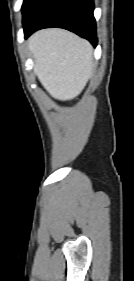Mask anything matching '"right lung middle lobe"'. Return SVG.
I'll list each match as a JSON object with an SVG mask.
<instances>
[{
    "label": "right lung middle lobe",
    "mask_w": 134,
    "mask_h": 281,
    "mask_svg": "<svg viewBox=\"0 0 134 281\" xmlns=\"http://www.w3.org/2000/svg\"><path fill=\"white\" fill-rule=\"evenodd\" d=\"M36 1L37 0H24L22 5L23 21L28 16Z\"/></svg>",
    "instance_id": "dd1d6c3e"
}]
</instances>
